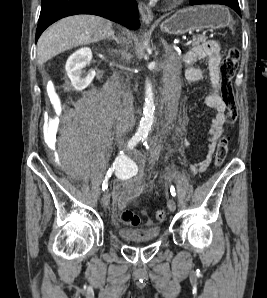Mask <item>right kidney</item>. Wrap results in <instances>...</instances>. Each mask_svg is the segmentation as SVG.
<instances>
[{
	"instance_id": "ca27d5eb",
	"label": "right kidney",
	"mask_w": 267,
	"mask_h": 298,
	"mask_svg": "<svg viewBox=\"0 0 267 298\" xmlns=\"http://www.w3.org/2000/svg\"><path fill=\"white\" fill-rule=\"evenodd\" d=\"M91 59V49L84 47L70 55L66 62L65 70L72 86L77 91H82L88 87L95 77L96 73L94 70H91L86 76L82 77L83 68L90 63Z\"/></svg>"
}]
</instances>
